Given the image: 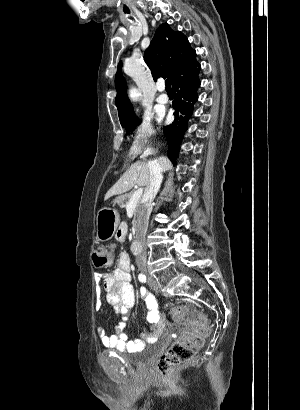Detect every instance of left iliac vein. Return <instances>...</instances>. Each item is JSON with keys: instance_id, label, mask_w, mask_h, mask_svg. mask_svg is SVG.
Returning a JSON list of instances; mask_svg holds the SVG:
<instances>
[{"instance_id": "left-iliac-vein-1", "label": "left iliac vein", "mask_w": 300, "mask_h": 410, "mask_svg": "<svg viewBox=\"0 0 300 410\" xmlns=\"http://www.w3.org/2000/svg\"><path fill=\"white\" fill-rule=\"evenodd\" d=\"M148 284L150 285V287L155 291V292H160V287L159 284L157 283V281L151 277L148 276Z\"/></svg>"}]
</instances>
